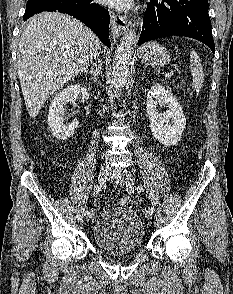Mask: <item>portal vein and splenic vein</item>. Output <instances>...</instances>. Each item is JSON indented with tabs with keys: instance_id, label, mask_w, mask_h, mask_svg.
Returning <instances> with one entry per match:
<instances>
[{
	"instance_id": "obj_1",
	"label": "portal vein and splenic vein",
	"mask_w": 233,
	"mask_h": 294,
	"mask_svg": "<svg viewBox=\"0 0 233 294\" xmlns=\"http://www.w3.org/2000/svg\"><path fill=\"white\" fill-rule=\"evenodd\" d=\"M173 73L172 72H169L165 75V78L166 79H170L172 77Z\"/></svg>"
}]
</instances>
